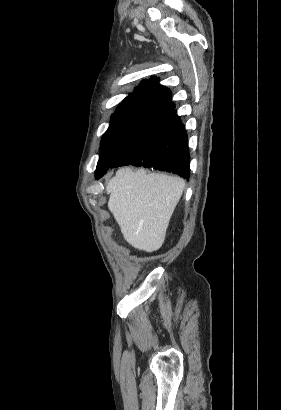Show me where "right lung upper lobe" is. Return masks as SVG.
I'll list each match as a JSON object with an SVG mask.
<instances>
[{"label": "right lung upper lobe", "instance_id": "cb5924a9", "mask_svg": "<svg viewBox=\"0 0 281 410\" xmlns=\"http://www.w3.org/2000/svg\"><path fill=\"white\" fill-rule=\"evenodd\" d=\"M145 105L172 111L175 106L171 101L170 90L159 84V79L152 76L143 80L134 91L129 94L120 104Z\"/></svg>", "mask_w": 281, "mask_h": 410}]
</instances>
